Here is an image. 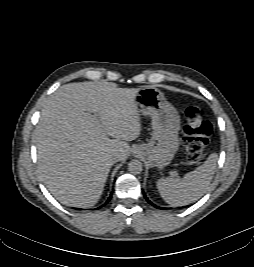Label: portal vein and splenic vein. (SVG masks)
<instances>
[{
	"instance_id": "18ae733b",
	"label": "portal vein and splenic vein",
	"mask_w": 254,
	"mask_h": 267,
	"mask_svg": "<svg viewBox=\"0 0 254 267\" xmlns=\"http://www.w3.org/2000/svg\"><path fill=\"white\" fill-rule=\"evenodd\" d=\"M91 117H92V120L95 122V124L97 126H100V123H99L98 119L95 116H91Z\"/></svg>"
}]
</instances>
